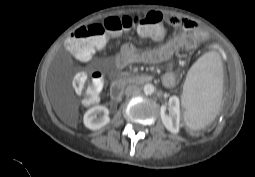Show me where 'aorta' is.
I'll return each instance as SVG.
<instances>
[{"label":"aorta","mask_w":255,"mask_h":177,"mask_svg":"<svg viewBox=\"0 0 255 177\" xmlns=\"http://www.w3.org/2000/svg\"><path fill=\"white\" fill-rule=\"evenodd\" d=\"M154 90H155V87L151 83H147L143 87V91L146 95H151L152 93H154Z\"/></svg>","instance_id":"aorta-1"}]
</instances>
